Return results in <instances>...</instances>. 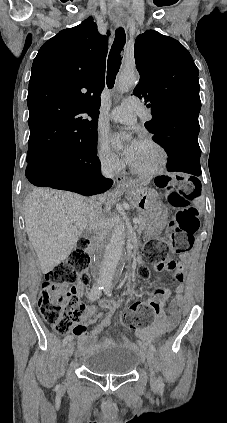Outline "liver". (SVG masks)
Listing matches in <instances>:
<instances>
[{"label": "liver", "instance_id": "6515ba94", "mask_svg": "<svg viewBox=\"0 0 227 423\" xmlns=\"http://www.w3.org/2000/svg\"><path fill=\"white\" fill-rule=\"evenodd\" d=\"M140 184V182H134ZM146 186L147 182H143ZM117 192H106L102 196L83 198L72 192H58L50 188H34L26 196L23 206L28 239L36 251L42 273H48L55 265L70 255L79 235L89 225L87 202L112 204ZM98 223L102 229V211Z\"/></svg>", "mask_w": 227, "mask_h": 423}]
</instances>
